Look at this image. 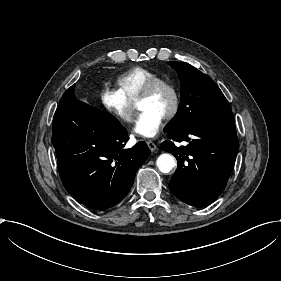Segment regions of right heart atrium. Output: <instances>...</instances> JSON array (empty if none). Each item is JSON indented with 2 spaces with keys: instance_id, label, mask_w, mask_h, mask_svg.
<instances>
[{
  "instance_id": "d8ad5b80",
  "label": "right heart atrium",
  "mask_w": 281,
  "mask_h": 281,
  "mask_svg": "<svg viewBox=\"0 0 281 281\" xmlns=\"http://www.w3.org/2000/svg\"><path fill=\"white\" fill-rule=\"evenodd\" d=\"M100 101L106 111L123 124H131L135 120V107L128 102L117 89L104 86L99 94Z\"/></svg>"
}]
</instances>
